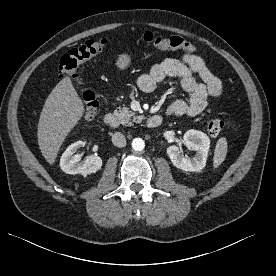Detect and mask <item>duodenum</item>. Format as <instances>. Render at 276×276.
<instances>
[{"label":"duodenum","mask_w":276,"mask_h":276,"mask_svg":"<svg viewBox=\"0 0 276 276\" xmlns=\"http://www.w3.org/2000/svg\"><path fill=\"white\" fill-rule=\"evenodd\" d=\"M162 116L160 115H153L150 116L147 121H146V125L148 128H156L158 127L161 123H162ZM104 122L107 126L111 127V128H118L119 126V119L112 113H106L104 115Z\"/></svg>","instance_id":"410a0bca"}]
</instances>
